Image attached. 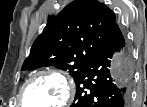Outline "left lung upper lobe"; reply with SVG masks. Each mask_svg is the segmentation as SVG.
<instances>
[{
  "instance_id": "obj_1",
  "label": "left lung upper lobe",
  "mask_w": 147,
  "mask_h": 107,
  "mask_svg": "<svg viewBox=\"0 0 147 107\" xmlns=\"http://www.w3.org/2000/svg\"><path fill=\"white\" fill-rule=\"evenodd\" d=\"M117 24L115 14L97 0H75L48 18L34 41L22 70L55 66L77 80Z\"/></svg>"
}]
</instances>
